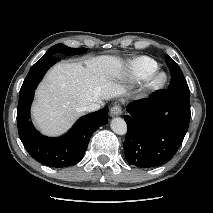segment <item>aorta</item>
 <instances>
[{
  "instance_id": "762f6f07",
  "label": "aorta",
  "mask_w": 213,
  "mask_h": 213,
  "mask_svg": "<svg viewBox=\"0 0 213 213\" xmlns=\"http://www.w3.org/2000/svg\"><path fill=\"white\" fill-rule=\"evenodd\" d=\"M111 129L118 135H124L127 132V124L124 119L116 117L111 121Z\"/></svg>"
}]
</instances>
